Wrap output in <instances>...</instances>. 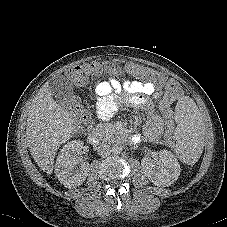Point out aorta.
<instances>
[{
    "instance_id": "obj_1",
    "label": "aorta",
    "mask_w": 227,
    "mask_h": 227,
    "mask_svg": "<svg viewBox=\"0 0 227 227\" xmlns=\"http://www.w3.org/2000/svg\"><path fill=\"white\" fill-rule=\"evenodd\" d=\"M114 154H120L122 151V146L115 144L112 146V150H111Z\"/></svg>"
}]
</instances>
